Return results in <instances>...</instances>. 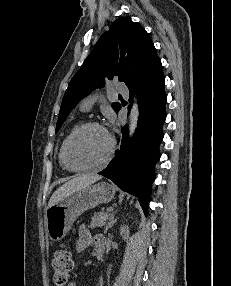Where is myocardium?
<instances>
[{
  "label": "myocardium",
  "mask_w": 231,
  "mask_h": 286,
  "mask_svg": "<svg viewBox=\"0 0 231 286\" xmlns=\"http://www.w3.org/2000/svg\"><path fill=\"white\" fill-rule=\"evenodd\" d=\"M87 128H98V129H101L102 131H104L109 137L110 147H109L107 154L100 161L93 163V164L86 165V166L76 167V166H73L69 161V158H68L69 146H70V143L73 140V138L78 133H80L81 131H83ZM115 146H116L115 139L109 133V131L105 128V126H103L102 124H100L99 122H96V121H87V122H84V123L78 125L77 127H75L69 133L67 138L65 139V142L63 145V151H62V161H63L65 168L67 170H70L73 172H83V171L96 169V168L104 166L105 164H107L109 162V160L112 158V156L114 154Z\"/></svg>",
  "instance_id": "myocardium-1"
}]
</instances>
